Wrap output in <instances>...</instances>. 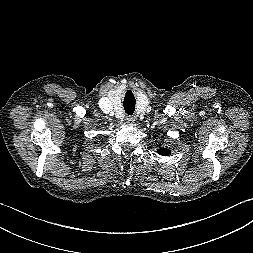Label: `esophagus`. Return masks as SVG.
Segmentation results:
<instances>
[{"mask_svg":"<svg viewBox=\"0 0 253 253\" xmlns=\"http://www.w3.org/2000/svg\"><path fill=\"white\" fill-rule=\"evenodd\" d=\"M125 121L127 124L132 125L135 122V117L133 116H126Z\"/></svg>","mask_w":253,"mask_h":253,"instance_id":"esophagus-1","label":"esophagus"}]
</instances>
